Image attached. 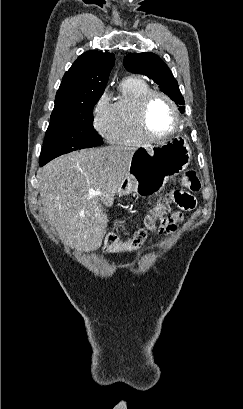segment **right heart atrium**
<instances>
[{
    "instance_id": "right-heart-atrium-1",
    "label": "right heart atrium",
    "mask_w": 243,
    "mask_h": 409,
    "mask_svg": "<svg viewBox=\"0 0 243 409\" xmlns=\"http://www.w3.org/2000/svg\"><path fill=\"white\" fill-rule=\"evenodd\" d=\"M92 124L100 136L109 137L112 124V104L107 92H103L94 104Z\"/></svg>"
}]
</instances>
